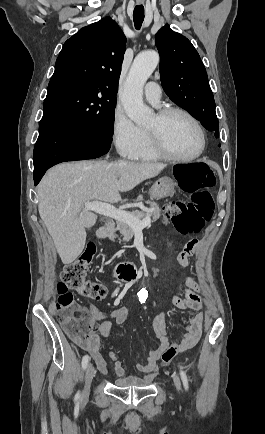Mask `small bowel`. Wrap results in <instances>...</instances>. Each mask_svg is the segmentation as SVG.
Listing matches in <instances>:
<instances>
[{"label":"small bowel","mask_w":265,"mask_h":434,"mask_svg":"<svg viewBox=\"0 0 265 434\" xmlns=\"http://www.w3.org/2000/svg\"><path fill=\"white\" fill-rule=\"evenodd\" d=\"M198 243V239H191L177 255V268L180 272L189 266L190 259L194 255ZM201 293L202 287L196 280L180 273V282L177 291L171 297V304L181 310L197 311L193 316L181 318V324L185 332L178 338L182 343L180 352H185L194 347L201 337L205 318ZM80 309L84 313L101 318L98 324L90 327L82 345V348H86L95 358L96 364L101 365L104 362L99 352L101 339L110 335L113 328L112 321L116 324H123L127 320L128 311L124 307H118L110 311H99L91 307H81ZM153 330L158 345L150 348L144 361L137 364V369L143 372L142 378L138 374H135L132 378H126L125 371L116 353L114 351L109 353V357L114 362L115 373L119 377L116 380L118 387H146L151 380L150 373L155 370L156 363L164 352L166 340H177L171 338L167 332L165 312L159 313L154 318ZM154 376H157V373H154Z\"/></svg>","instance_id":"1"}]
</instances>
